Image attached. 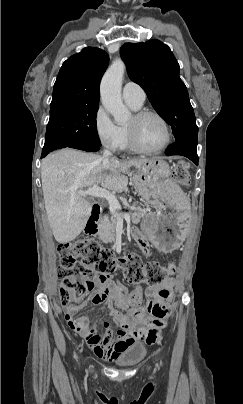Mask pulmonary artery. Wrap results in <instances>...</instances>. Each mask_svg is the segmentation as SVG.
<instances>
[{
  "instance_id": "pulmonary-artery-1",
  "label": "pulmonary artery",
  "mask_w": 243,
  "mask_h": 404,
  "mask_svg": "<svg viewBox=\"0 0 243 404\" xmlns=\"http://www.w3.org/2000/svg\"><path fill=\"white\" fill-rule=\"evenodd\" d=\"M122 97L125 101L142 105L146 95L144 89L136 82L127 81L122 87Z\"/></svg>"
}]
</instances>
